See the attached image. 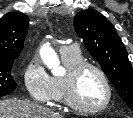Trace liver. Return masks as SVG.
I'll return each mask as SVG.
<instances>
[{
	"label": "liver",
	"instance_id": "6515ba94",
	"mask_svg": "<svg viewBox=\"0 0 133 118\" xmlns=\"http://www.w3.org/2000/svg\"><path fill=\"white\" fill-rule=\"evenodd\" d=\"M0 118H63V116L38 104L13 98L0 101Z\"/></svg>",
	"mask_w": 133,
	"mask_h": 118
}]
</instances>
